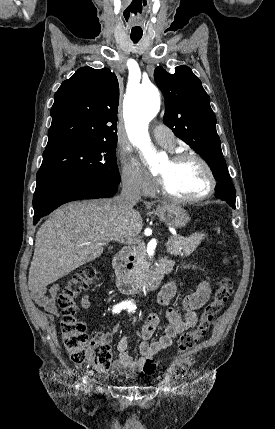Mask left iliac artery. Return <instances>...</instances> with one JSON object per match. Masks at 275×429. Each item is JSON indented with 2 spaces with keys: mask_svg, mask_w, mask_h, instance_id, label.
I'll return each mask as SVG.
<instances>
[{
  "mask_svg": "<svg viewBox=\"0 0 275 429\" xmlns=\"http://www.w3.org/2000/svg\"><path fill=\"white\" fill-rule=\"evenodd\" d=\"M128 311L130 312V311H132V309H131V308H129V309H128Z\"/></svg>",
  "mask_w": 275,
  "mask_h": 429,
  "instance_id": "1",
  "label": "left iliac artery"
}]
</instances>
